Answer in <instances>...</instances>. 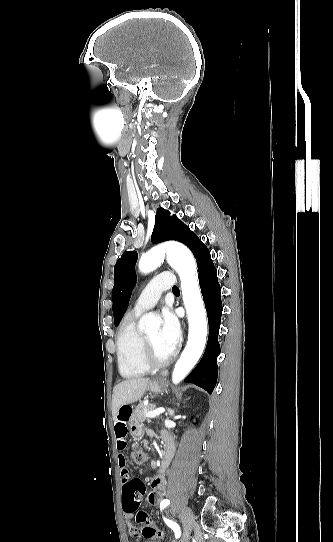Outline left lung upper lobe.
<instances>
[{"label": "left lung upper lobe", "instance_id": "5c2ea615", "mask_svg": "<svg viewBox=\"0 0 333 542\" xmlns=\"http://www.w3.org/2000/svg\"><path fill=\"white\" fill-rule=\"evenodd\" d=\"M151 240L153 243L167 240H177L187 245L194 256L203 244L202 241L170 212L158 208L155 217V226ZM138 254L135 251H126L114 266L115 283L113 287V313L117 326L128 306L132 289L135 285V264Z\"/></svg>", "mask_w": 333, "mask_h": 542}]
</instances>
